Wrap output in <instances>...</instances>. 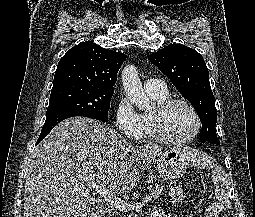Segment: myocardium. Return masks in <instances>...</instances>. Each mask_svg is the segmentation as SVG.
I'll list each match as a JSON object with an SVG mask.
<instances>
[{
	"label": "myocardium",
	"instance_id": "obj_1",
	"mask_svg": "<svg viewBox=\"0 0 255 217\" xmlns=\"http://www.w3.org/2000/svg\"><path fill=\"white\" fill-rule=\"evenodd\" d=\"M176 104H183L187 106L193 113L196 120V128L194 132L188 138L185 139L171 138L170 136L167 135L164 128L165 115L169 111V109ZM151 120L155 139L160 142L171 145H183L192 142L198 136L202 128V119L200 113L189 100L184 98H169L164 102L158 104L157 107L152 112Z\"/></svg>",
	"mask_w": 255,
	"mask_h": 217
}]
</instances>
